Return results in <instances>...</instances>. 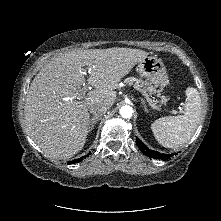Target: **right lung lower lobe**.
I'll return each mask as SVG.
<instances>
[{
	"label": "right lung lower lobe",
	"instance_id": "1",
	"mask_svg": "<svg viewBox=\"0 0 221 221\" xmlns=\"http://www.w3.org/2000/svg\"><path fill=\"white\" fill-rule=\"evenodd\" d=\"M88 156V155H87ZM84 157H81V158H78V159H75L73 161H69L68 164H74V163H77V162H81L83 160Z\"/></svg>",
	"mask_w": 221,
	"mask_h": 221
}]
</instances>
